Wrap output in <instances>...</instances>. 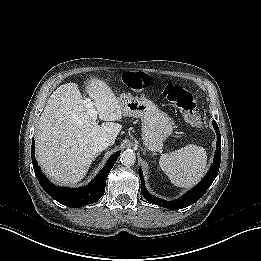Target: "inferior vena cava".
<instances>
[{
  "mask_svg": "<svg viewBox=\"0 0 261 261\" xmlns=\"http://www.w3.org/2000/svg\"><path fill=\"white\" fill-rule=\"evenodd\" d=\"M110 140L106 137H99L94 142V149L96 152H101L110 146Z\"/></svg>",
  "mask_w": 261,
  "mask_h": 261,
  "instance_id": "inferior-vena-cava-1",
  "label": "inferior vena cava"
}]
</instances>
